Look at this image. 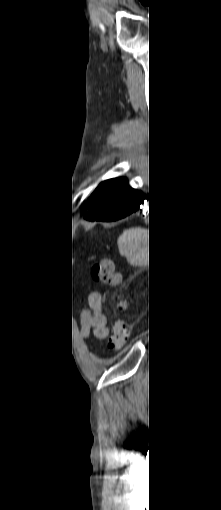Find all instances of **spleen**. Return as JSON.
<instances>
[{
    "label": "spleen",
    "instance_id": "1",
    "mask_svg": "<svg viewBox=\"0 0 221 510\" xmlns=\"http://www.w3.org/2000/svg\"><path fill=\"white\" fill-rule=\"evenodd\" d=\"M118 248L132 263L143 264L148 251L147 230L141 227L124 230L118 238Z\"/></svg>",
    "mask_w": 221,
    "mask_h": 510
}]
</instances>
